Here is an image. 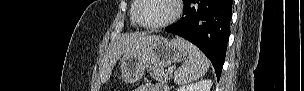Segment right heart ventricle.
Returning <instances> with one entry per match:
<instances>
[{
	"instance_id": "e07e8e85",
	"label": "right heart ventricle",
	"mask_w": 304,
	"mask_h": 91,
	"mask_svg": "<svg viewBox=\"0 0 304 91\" xmlns=\"http://www.w3.org/2000/svg\"><path fill=\"white\" fill-rule=\"evenodd\" d=\"M135 6H136V2H134V5H133L132 11H131V21H132V25H133V26H137V23H136V21H135V19H134V10H135Z\"/></svg>"
}]
</instances>
